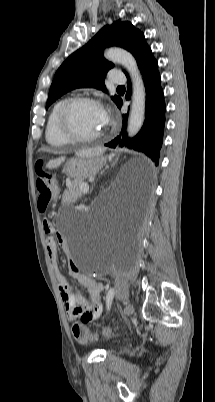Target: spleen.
Segmentation results:
<instances>
[{
	"label": "spleen",
	"mask_w": 215,
	"mask_h": 402,
	"mask_svg": "<svg viewBox=\"0 0 215 402\" xmlns=\"http://www.w3.org/2000/svg\"><path fill=\"white\" fill-rule=\"evenodd\" d=\"M102 151H103L102 148H97V149H95V150L83 151V152H80L79 154H80V155H81V154H83V155H91V154H93V153H101ZM63 160H64V158L61 159L60 161H63ZM56 163H57V161H51V162L48 163V167L54 166Z\"/></svg>",
	"instance_id": "1"
}]
</instances>
